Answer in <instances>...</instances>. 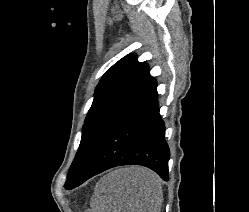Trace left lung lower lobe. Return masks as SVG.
Returning a JSON list of instances; mask_svg holds the SVG:
<instances>
[{
	"instance_id": "obj_1",
	"label": "left lung lower lobe",
	"mask_w": 249,
	"mask_h": 212,
	"mask_svg": "<svg viewBox=\"0 0 249 212\" xmlns=\"http://www.w3.org/2000/svg\"><path fill=\"white\" fill-rule=\"evenodd\" d=\"M157 82L154 79L142 95L108 131L81 175L65 185L78 187L89 178L116 166L142 165L168 180L169 147L165 125L159 114Z\"/></svg>"
}]
</instances>
